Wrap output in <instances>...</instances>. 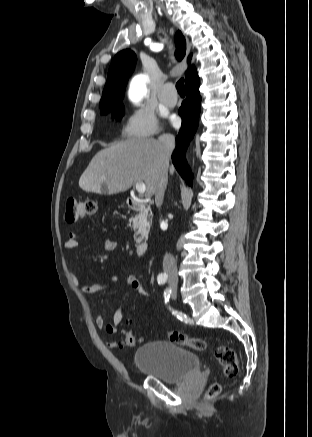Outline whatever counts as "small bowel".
Returning a JSON list of instances; mask_svg holds the SVG:
<instances>
[{
	"mask_svg": "<svg viewBox=\"0 0 312 437\" xmlns=\"http://www.w3.org/2000/svg\"><path fill=\"white\" fill-rule=\"evenodd\" d=\"M77 233L70 232L68 235V239L65 242V249L66 250H72L77 247L78 241H77ZM103 247L108 251H115L118 248L117 242L105 239L103 241ZM120 283L126 284L129 288L136 291L143 297H150L151 293L149 290H147L143 285L142 282L134 275H128L126 277L120 278V277H112L110 278L108 284L110 285H117ZM76 284L78 285V282L76 281ZM108 284H101L96 283L92 285H81L79 287V290L85 294L92 295L99 291H102L107 287ZM124 318V311L122 307H119L113 314L112 321L107 323L104 319V317L101 314H96L95 316V324L99 329L104 330L108 334H116L118 332V326L122 322ZM107 346L110 348H118L120 344L115 341H109L107 342Z\"/></svg>",
	"mask_w": 312,
	"mask_h": 437,
	"instance_id": "1",
	"label": "small bowel"
}]
</instances>
